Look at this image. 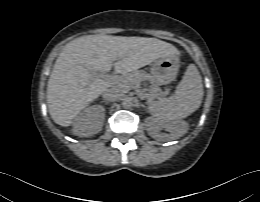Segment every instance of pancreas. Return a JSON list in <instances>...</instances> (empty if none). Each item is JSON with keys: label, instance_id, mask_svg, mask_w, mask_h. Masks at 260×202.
I'll return each mask as SVG.
<instances>
[{"label": "pancreas", "instance_id": "1", "mask_svg": "<svg viewBox=\"0 0 260 202\" xmlns=\"http://www.w3.org/2000/svg\"><path fill=\"white\" fill-rule=\"evenodd\" d=\"M151 76L145 71H134L120 78L116 83V86L121 92H127L132 87L139 85L141 82L150 81ZM149 96L154 98L157 96V89L151 88L148 90Z\"/></svg>", "mask_w": 260, "mask_h": 202}]
</instances>
